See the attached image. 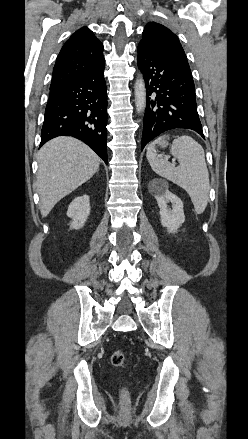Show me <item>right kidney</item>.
<instances>
[{
  "instance_id": "1",
  "label": "right kidney",
  "mask_w": 248,
  "mask_h": 439,
  "mask_svg": "<svg viewBox=\"0 0 248 439\" xmlns=\"http://www.w3.org/2000/svg\"><path fill=\"white\" fill-rule=\"evenodd\" d=\"M90 214V198L84 194L76 197L68 206L67 216L72 219L70 227L72 229H80L84 226Z\"/></svg>"
}]
</instances>
